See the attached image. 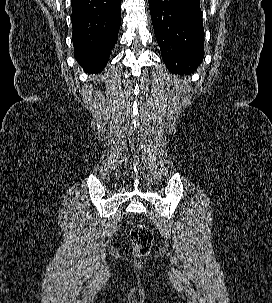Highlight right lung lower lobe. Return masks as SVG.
<instances>
[{
    "label": "right lung lower lobe",
    "mask_w": 272,
    "mask_h": 303,
    "mask_svg": "<svg viewBox=\"0 0 272 303\" xmlns=\"http://www.w3.org/2000/svg\"><path fill=\"white\" fill-rule=\"evenodd\" d=\"M121 0H71L74 56L88 73L106 66L121 23Z\"/></svg>",
    "instance_id": "1"
}]
</instances>
